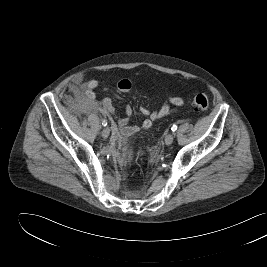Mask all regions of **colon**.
<instances>
[{"instance_id": "5ec220e1", "label": "colon", "mask_w": 267, "mask_h": 267, "mask_svg": "<svg viewBox=\"0 0 267 267\" xmlns=\"http://www.w3.org/2000/svg\"><path fill=\"white\" fill-rule=\"evenodd\" d=\"M194 106L200 111H206L209 107V100L205 94H198L193 99Z\"/></svg>"}]
</instances>
